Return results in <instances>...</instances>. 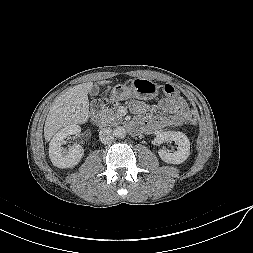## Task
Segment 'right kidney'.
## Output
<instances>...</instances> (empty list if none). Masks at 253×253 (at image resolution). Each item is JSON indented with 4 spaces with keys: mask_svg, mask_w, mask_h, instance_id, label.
Here are the masks:
<instances>
[{
    "mask_svg": "<svg viewBox=\"0 0 253 253\" xmlns=\"http://www.w3.org/2000/svg\"><path fill=\"white\" fill-rule=\"evenodd\" d=\"M81 129L78 125H68L58 131L49 144V156L54 166L58 168H71L77 165L83 155L84 149L74 144L68 151L63 149L64 139L70 135H78Z\"/></svg>",
    "mask_w": 253,
    "mask_h": 253,
    "instance_id": "obj_1",
    "label": "right kidney"
}]
</instances>
